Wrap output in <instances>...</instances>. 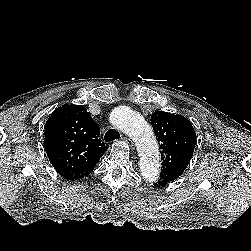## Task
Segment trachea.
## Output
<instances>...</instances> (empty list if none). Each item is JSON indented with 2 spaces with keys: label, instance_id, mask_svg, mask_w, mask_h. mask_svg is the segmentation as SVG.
Returning <instances> with one entry per match:
<instances>
[{
  "label": "trachea",
  "instance_id": "obj_1",
  "mask_svg": "<svg viewBox=\"0 0 251 251\" xmlns=\"http://www.w3.org/2000/svg\"><path fill=\"white\" fill-rule=\"evenodd\" d=\"M119 138H120V134L115 129H109L104 136V139L106 142H112V141L119 139Z\"/></svg>",
  "mask_w": 251,
  "mask_h": 251
}]
</instances>
